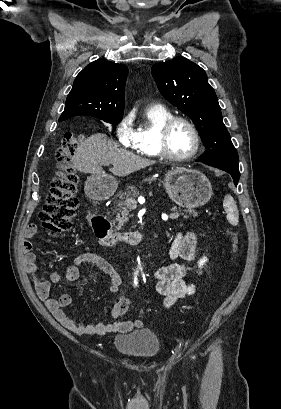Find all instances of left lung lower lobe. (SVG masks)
<instances>
[{"mask_svg": "<svg viewBox=\"0 0 281 409\" xmlns=\"http://www.w3.org/2000/svg\"><path fill=\"white\" fill-rule=\"evenodd\" d=\"M200 161V160H198ZM202 162V161H200ZM207 165L219 168L221 170H224L228 173L231 174L234 184L237 185L239 178H240V172H239V164L237 162H231V161H217V162H202Z\"/></svg>", "mask_w": 281, "mask_h": 409, "instance_id": "left-lung-lower-lobe-1", "label": "left lung lower lobe"}]
</instances>
